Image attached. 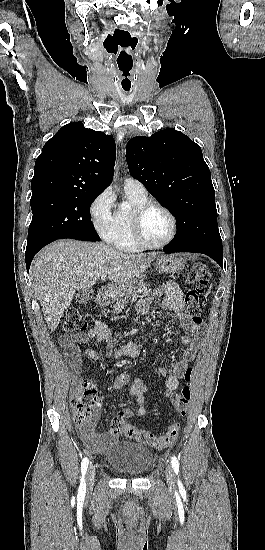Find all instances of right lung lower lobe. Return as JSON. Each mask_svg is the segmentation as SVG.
<instances>
[{"label":"right lung lower lobe","mask_w":265,"mask_h":550,"mask_svg":"<svg viewBox=\"0 0 265 550\" xmlns=\"http://www.w3.org/2000/svg\"><path fill=\"white\" fill-rule=\"evenodd\" d=\"M62 238H71V239H76V240H83V241H94V240H90V239H87V238H83V237H79V236H65V237H62ZM60 238V239H62ZM41 249V248H40ZM40 249H37L31 253H25V260H26V267H27V271H29V268H30V265H31V261L33 259V257L35 256V254L40 250Z\"/></svg>","instance_id":"obj_1"}]
</instances>
